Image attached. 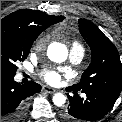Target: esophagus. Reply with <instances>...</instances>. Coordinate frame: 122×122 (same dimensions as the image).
I'll use <instances>...</instances> for the list:
<instances>
[{
  "instance_id": "34e87169",
  "label": "esophagus",
  "mask_w": 122,
  "mask_h": 122,
  "mask_svg": "<svg viewBox=\"0 0 122 122\" xmlns=\"http://www.w3.org/2000/svg\"><path fill=\"white\" fill-rule=\"evenodd\" d=\"M42 90L47 92V93H51V94H53L57 91L56 89L48 87V86H44Z\"/></svg>"
}]
</instances>
